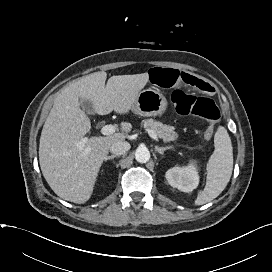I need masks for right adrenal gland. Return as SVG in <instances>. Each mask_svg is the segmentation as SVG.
I'll return each mask as SVG.
<instances>
[{
  "label": "right adrenal gland",
  "mask_w": 272,
  "mask_h": 272,
  "mask_svg": "<svg viewBox=\"0 0 272 272\" xmlns=\"http://www.w3.org/2000/svg\"><path fill=\"white\" fill-rule=\"evenodd\" d=\"M117 157H119V156H117V155L107 156V157L105 158V161L111 160V159H115V158H117Z\"/></svg>",
  "instance_id": "obj_1"
}]
</instances>
